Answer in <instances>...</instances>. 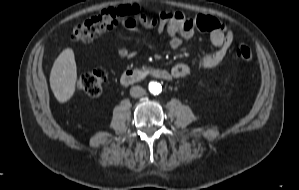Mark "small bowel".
<instances>
[{
	"mask_svg": "<svg viewBox=\"0 0 299 190\" xmlns=\"http://www.w3.org/2000/svg\"><path fill=\"white\" fill-rule=\"evenodd\" d=\"M204 20V27L201 28L198 24V19L189 18L181 12H177L175 14L165 13L161 19H158L154 15L137 14L133 17L125 18L123 20V24L130 29L136 28L138 24L147 28L165 29L171 36L170 45L173 48L180 47L183 42V38L190 37L197 26L203 30H207L211 32L212 44L219 48V50L207 61L209 66H215L223 60L228 49V41L226 40L223 26L217 19L212 16H204ZM119 55L124 58L131 56L130 52L126 49L120 50ZM189 73L190 67L185 63L176 65L173 70L175 77H185Z\"/></svg>",
	"mask_w": 299,
	"mask_h": 190,
	"instance_id": "c3829d8e",
	"label": "small bowel"
}]
</instances>
